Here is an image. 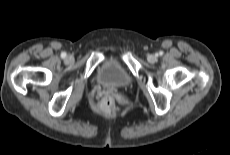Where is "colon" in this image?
Masks as SVG:
<instances>
[{
	"mask_svg": "<svg viewBox=\"0 0 230 155\" xmlns=\"http://www.w3.org/2000/svg\"><path fill=\"white\" fill-rule=\"evenodd\" d=\"M102 109L109 113V114H114L117 112L118 108L116 106V103L114 100L110 97H107L103 100L102 102Z\"/></svg>",
	"mask_w": 230,
	"mask_h": 155,
	"instance_id": "1",
	"label": "colon"
}]
</instances>
